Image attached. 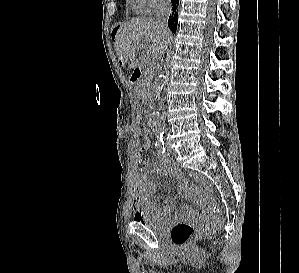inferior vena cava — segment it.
Returning a JSON list of instances; mask_svg holds the SVG:
<instances>
[{
  "label": "inferior vena cava",
  "instance_id": "602c4592",
  "mask_svg": "<svg viewBox=\"0 0 299 273\" xmlns=\"http://www.w3.org/2000/svg\"><path fill=\"white\" fill-rule=\"evenodd\" d=\"M171 12L170 0H156L155 20L163 30H167V21Z\"/></svg>",
  "mask_w": 299,
  "mask_h": 273
}]
</instances>
